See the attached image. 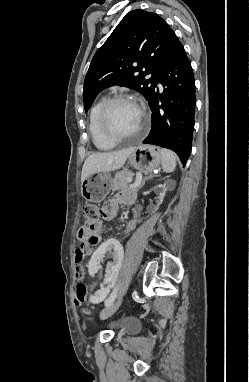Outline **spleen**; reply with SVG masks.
Here are the masks:
<instances>
[{
  "label": "spleen",
  "mask_w": 249,
  "mask_h": 382,
  "mask_svg": "<svg viewBox=\"0 0 249 382\" xmlns=\"http://www.w3.org/2000/svg\"><path fill=\"white\" fill-rule=\"evenodd\" d=\"M160 153L162 158L161 164L163 170L167 173L173 172L176 168V154L173 151L166 148L160 149Z\"/></svg>",
  "instance_id": "1"
}]
</instances>
